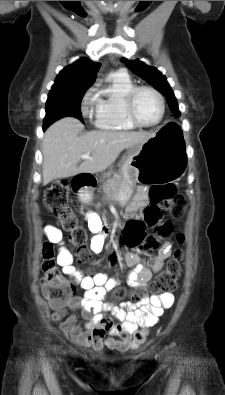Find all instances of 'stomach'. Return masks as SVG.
<instances>
[{"instance_id": "0dacf381", "label": "stomach", "mask_w": 225, "mask_h": 395, "mask_svg": "<svg viewBox=\"0 0 225 395\" xmlns=\"http://www.w3.org/2000/svg\"><path fill=\"white\" fill-rule=\"evenodd\" d=\"M121 174L123 184L117 189L113 198L124 205L129 201L132 188L137 183L148 185L176 181L181 178L184 171L182 164L175 160L172 153L160 146L159 137L155 135L130 150L122 165ZM80 198L84 202L91 201L92 193L82 191Z\"/></svg>"}]
</instances>
